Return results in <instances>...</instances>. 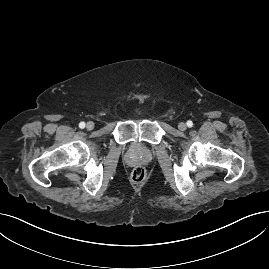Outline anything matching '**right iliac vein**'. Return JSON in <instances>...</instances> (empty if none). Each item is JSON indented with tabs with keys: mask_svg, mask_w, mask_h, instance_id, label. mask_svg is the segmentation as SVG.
Listing matches in <instances>:
<instances>
[{
	"mask_svg": "<svg viewBox=\"0 0 269 269\" xmlns=\"http://www.w3.org/2000/svg\"><path fill=\"white\" fill-rule=\"evenodd\" d=\"M86 128L87 130H92L94 128V122L92 121L87 122Z\"/></svg>",
	"mask_w": 269,
	"mask_h": 269,
	"instance_id": "obj_1",
	"label": "right iliac vein"
}]
</instances>
